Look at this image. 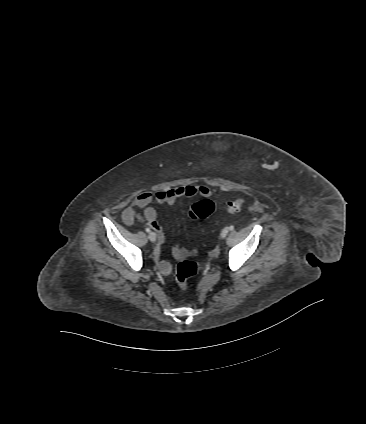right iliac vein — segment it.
Listing matches in <instances>:
<instances>
[{
	"label": "right iliac vein",
	"mask_w": 366,
	"mask_h": 424,
	"mask_svg": "<svg viewBox=\"0 0 366 424\" xmlns=\"http://www.w3.org/2000/svg\"><path fill=\"white\" fill-rule=\"evenodd\" d=\"M148 237H149L150 241H152V242L156 241V234L154 232H150Z\"/></svg>",
	"instance_id": "right-iliac-vein-1"
}]
</instances>
